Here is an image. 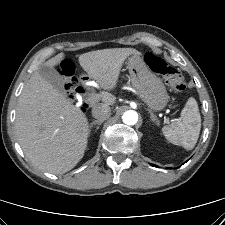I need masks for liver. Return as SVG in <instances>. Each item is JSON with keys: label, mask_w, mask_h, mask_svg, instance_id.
Segmentation results:
<instances>
[{"label": "liver", "mask_w": 225, "mask_h": 225, "mask_svg": "<svg viewBox=\"0 0 225 225\" xmlns=\"http://www.w3.org/2000/svg\"><path fill=\"white\" fill-rule=\"evenodd\" d=\"M133 48H111L79 56V64L104 90L116 87L125 60ZM64 58L59 54L45 65L54 67ZM102 104L112 105L115 97L108 92L97 96ZM19 144L29 161L53 174H64L83 158L88 143V120L85 113L55 89L36 71L24 86L18 101L15 120Z\"/></svg>", "instance_id": "obj_1"}]
</instances>
